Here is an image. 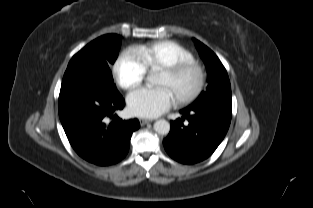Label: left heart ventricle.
<instances>
[{
  "mask_svg": "<svg viewBox=\"0 0 313 208\" xmlns=\"http://www.w3.org/2000/svg\"><path fill=\"white\" fill-rule=\"evenodd\" d=\"M194 82L195 74L193 72L186 73L175 80L170 79L166 74L161 72L158 79V85L167 87L174 96L188 91Z\"/></svg>",
  "mask_w": 313,
  "mask_h": 208,
  "instance_id": "1",
  "label": "left heart ventricle"
}]
</instances>
